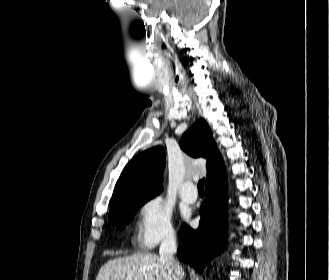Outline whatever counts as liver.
<instances>
[{"label": "liver", "mask_w": 329, "mask_h": 280, "mask_svg": "<svg viewBox=\"0 0 329 280\" xmlns=\"http://www.w3.org/2000/svg\"><path fill=\"white\" fill-rule=\"evenodd\" d=\"M96 280H174V278L170 267L158 255L138 253L109 260L99 270Z\"/></svg>", "instance_id": "obj_1"}]
</instances>
